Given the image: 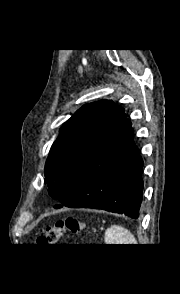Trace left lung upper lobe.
Wrapping results in <instances>:
<instances>
[{"instance_id": "1", "label": "left lung upper lobe", "mask_w": 180, "mask_h": 294, "mask_svg": "<svg viewBox=\"0 0 180 294\" xmlns=\"http://www.w3.org/2000/svg\"><path fill=\"white\" fill-rule=\"evenodd\" d=\"M125 110L111 100L82 106L60 128L45 164V183L54 199L64 198Z\"/></svg>"}]
</instances>
